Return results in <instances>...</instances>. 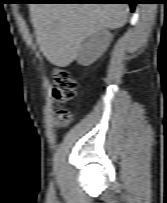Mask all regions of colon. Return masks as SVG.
Segmentation results:
<instances>
[{
	"mask_svg": "<svg viewBox=\"0 0 167 203\" xmlns=\"http://www.w3.org/2000/svg\"><path fill=\"white\" fill-rule=\"evenodd\" d=\"M54 98L58 104L72 100L76 93L77 83L71 74L62 68L53 73ZM57 128L60 130L66 126L71 118L70 113L65 109H58L55 112Z\"/></svg>",
	"mask_w": 167,
	"mask_h": 203,
	"instance_id": "colon-1",
	"label": "colon"
}]
</instances>
